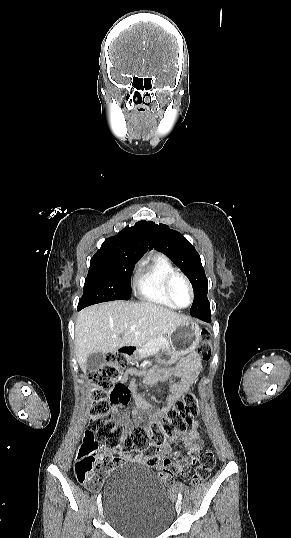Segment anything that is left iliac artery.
Here are the masks:
<instances>
[{
	"label": "left iliac artery",
	"instance_id": "1",
	"mask_svg": "<svg viewBox=\"0 0 291 538\" xmlns=\"http://www.w3.org/2000/svg\"><path fill=\"white\" fill-rule=\"evenodd\" d=\"M178 499H179V501L182 500V494L181 493L178 494Z\"/></svg>",
	"mask_w": 291,
	"mask_h": 538
}]
</instances>
